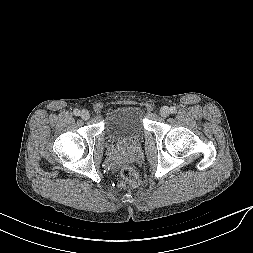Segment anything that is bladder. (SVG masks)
<instances>
[{
  "label": "bladder",
  "mask_w": 253,
  "mask_h": 253,
  "mask_svg": "<svg viewBox=\"0 0 253 253\" xmlns=\"http://www.w3.org/2000/svg\"><path fill=\"white\" fill-rule=\"evenodd\" d=\"M145 113L141 106L125 104L112 109L104 120L109 140L126 144L140 140L145 133Z\"/></svg>",
  "instance_id": "1"
}]
</instances>
